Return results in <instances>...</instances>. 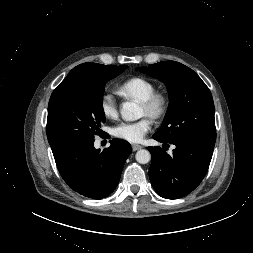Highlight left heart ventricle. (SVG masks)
<instances>
[{
	"mask_svg": "<svg viewBox=\"0 0 253 253\" xmlns=\"http://www.w3.org/2000/svg\"><path fill=\"white\" fill-rule=\"evenodd\" d=\"M140 114L141 115H147V111L142 105H141V108H140Z\"/></svg>",
	"mask_w": 253,
	"mask_h": 253,
	"instance_id": "b2bd125f",
	"label": "left heart ventricle"
}]
</instances>
